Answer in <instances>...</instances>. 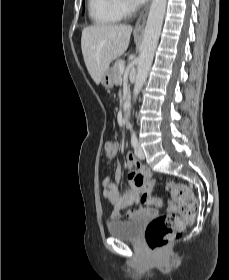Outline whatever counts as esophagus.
Wrapping results in <instances>:
<instances>
[{"label": "esophagus", "instance_id": "1", "mask_svg": "<svg viewBox=\"0 0 229 280\" xmlns=\"http://www.w3.org/2000/svg\"><path fill=\"white\" fill-rule=\"evenodd\" d=\"M150 5H151V0H148L147 4L143 8V10L140 13V16H139V18H138V20L135 24V29L136 30H142L144 28Z\"/></svg>", "mask_w": 229, "mask_h": 280}]
</instances>
